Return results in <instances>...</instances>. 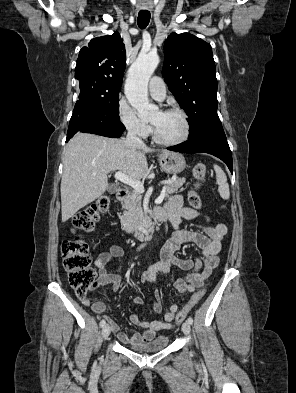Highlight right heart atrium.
Listing matches in <instances>:
<instances>
[{"mask_svg":"<svg viewBox=\"0 0 296 393\" xmlns=\"http://www.w3.org/2000/svg\"><path fill=\"white\" fill-rule=\"evenodd\" d=\"M117 114L119 120L130 134L138 138H146L150 134L151 127L149 123L143 120L124 99L118 102Z\"/></svg>","mask_w":296,"mask_h":393,"instance_id":"d8ad5b80","label":"right heart atrium"}]
</instances>
